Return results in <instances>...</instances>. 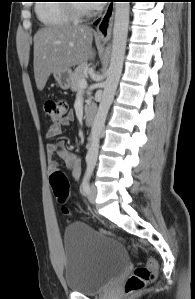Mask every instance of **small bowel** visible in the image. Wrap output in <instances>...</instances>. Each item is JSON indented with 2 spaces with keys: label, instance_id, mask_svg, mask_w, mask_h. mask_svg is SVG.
I'll return each instance as SVG.
<instances>
[{
  "label": "small bowel",
  "instance_id": "1",
  "mask_svg": "<svg viewBox=\"0 0 195 299\" xmlns=\"http://www.w3.org/2000/svg\"><path fill=\"white\" fill-rule=\"evenodd\" d=\"M73 114L69 113L59 122H53L49 125L46 131L47 138H54L60 134L62 128L67 127L73 121ZM47 151L51 155L57 156L59 159L65 162L66 167L71 171L72 178L74 180H79L81 176V163L77 154L71 152L65 148L62 144H49L47 146ZM50 167L55 168L57 162L53 159L50 160Z\"/></svg>",
  "mask_w": 195,
  "mask_h": 299
}]
</instances>
